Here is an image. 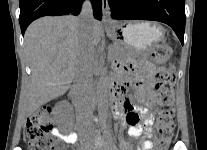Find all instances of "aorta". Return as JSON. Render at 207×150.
Listing matches in <instances>:
<instances>
[{"instance_id":"1","label":"aorta","mask_w":207,"mask_h":150,"mask_svg":"<svg viewBox=\"0 0 207 150\" xmlns=\"http://www.w3.org/2000/svg\"><path fill=\"white\" fill-rule=\"evenodd\" d=\"M105 71L101 70L98 81L96 83V95L99 107L106 110L108 107V89L105 79Z\"/></svg>"}]
</instances>
